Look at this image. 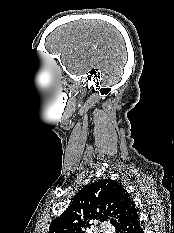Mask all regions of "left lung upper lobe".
<instances>
[{
	"instance_id": "5c2ea615",
	"label": "left lung upper lobe",
	"mask_w": 174,
	"mask_h": 233,
	"mask_svg": "<svg viewBox=\"0 0 174 233\" xmlns=\"http://www.w3.org/2000/svg\"><path fill=\"white\" fill-rule=\"evenodd\" d=\"M136 206L127 191L116 181L99 180L83 187L63 214L52 221L49 233H82L90 220L105 221L118 227L134 212Z\"/></svg>"
}]
</instances>
